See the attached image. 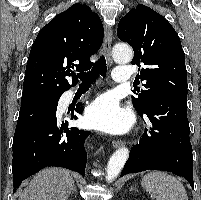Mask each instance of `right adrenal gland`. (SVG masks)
<instances>
[{
	"mask_svg": "<svg viewBox=\"0 0 201 200\" xmlns=\"http://www.w3.org/2000/svg\"><path fill=\"white\" fill-rule=\"evenodd\" d=\"M77 189H76V186L73 187V190H72V193L76 192Z\"/></svg>",
	"mask_w": 201,
	"mask_h": 200,
	"instance_id": "right-adrenal-gland-1",
	"label": "right adrenal gland"
}]
</instances>
